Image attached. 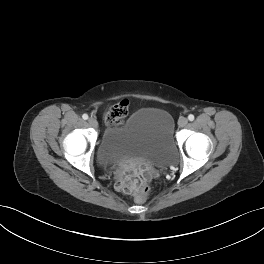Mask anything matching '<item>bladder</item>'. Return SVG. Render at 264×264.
<instances>
[{
	"label": "bladder",
	"mask_w": 264,
	"mask_h": 264,
	"mask_svg": "<svg viewBox=\"0 0 264 264\" xmlns=\"http://www.w3.org/2000/svg\"><path fill=\"white\" fill-rule=\"evenodd\" d=\"M172 120L157 108H141L126 122L106 131L96 152L100 164L117 167L130 161L163 165L174 156Z\"/></svg>",
	"instance_id": "obj_1"
}]
</instances>
